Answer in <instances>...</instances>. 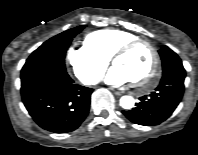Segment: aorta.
I'll list each match as a JSON object with an SVG mask.
<instances>
[{
	"mask_svg": "<svg viewBox=\"0 0 198 155\" xmlns=\"http://www.w3.org/2000/svg\"><path fill=\"white\" fill-rule=\"evenodd\" d=\"M134 104L135 100L132 96L125 95L120 98V106L124 109L129 110L134 107Z\"/></svg>",
	"mask_w": 198,
	"mask_h": 155,
	"instance_id": "obj_1",
	"label": "aorta"
}]
</instances>
